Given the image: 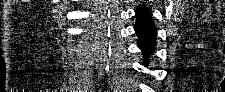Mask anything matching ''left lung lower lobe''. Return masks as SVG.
Segmentation results:
<instances>
[{
  "mask_svg": "<svg viewBox=\"0 0 225 92\" xmlns=\"http://www.w3.org/2000/svg\"><path fill=\"white\" fill-rule=\"evenodd\" d=\"M135 14L136 23L134 29L138 36V47L143 51V61L148 65L149 57L155 50L157 29L147 7L139 5L135 10Z\"/></svg>",
  "mask_w": 225,
  "mask_h": 92,
  "instance_id": "1",
  "label": "left lung lower lobe"
}]
</instances>
